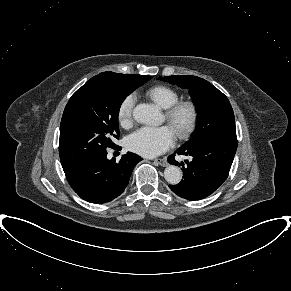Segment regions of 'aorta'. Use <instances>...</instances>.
Here are the masks:
<instances>
[{
	"label": "aorta",
	"mask_w": 291,
	"mask_h": 291,
	"mask_svg": "<svg viewBox=\"0 0 291 291\" xmlns=\"http://www.w3.org/2000/svg\"><path fill=\"white\" fill-rule=\"evenodd\" d=\"M133 117L139 123L152 125L158 123L160 112L156 106L143 103L134 108ZM164 178L169 184L176 185L182 179V172L179 167L169 165L164 171Z\"/></svg>",
	"instance_id": "obj_1"
}]
</instances>
